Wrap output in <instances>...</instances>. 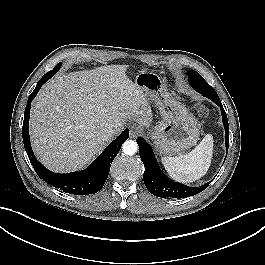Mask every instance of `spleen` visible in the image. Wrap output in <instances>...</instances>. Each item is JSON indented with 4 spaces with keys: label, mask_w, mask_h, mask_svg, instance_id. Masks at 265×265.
<instances>
[{
    "label": "spleen",
    "mask_w": 265,
    "mask_h": 265,
    "mask_svg": "<svg viewBox=\"0 0 265 265\" xmlns=\"http://www.w3.org/2000/svg\"><path fill=\"white\" fill-rule=\"evenodd\" d=\"M212 153L213 136L207 134L190 153L178 157H162L161 160L173 179L190 183L207 173L211 164Z\"/></svg>",
    "instance_id": "obj_1"
}]
</instances>
